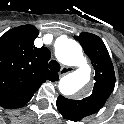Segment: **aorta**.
I'll return each instance as SVG.
<instances>
[{"label": "aorta", "mask_w": 124, "mask_h": 124, "mask_svg": "<svg viewBox=\"0 0 124 124\" xmlns=\"http://www.w3.org/2000/svg\"><path fill=\"white\" fill-rule=\"evenodd\" d=\"M57 59L68 66L77 69L61 78L59 91L66 96L81 91L90 81V67L83 56V51L78 42L68 37H60L55 44Z\"/></svg>", "instance_id": "aorta-1"}]
</instances>
